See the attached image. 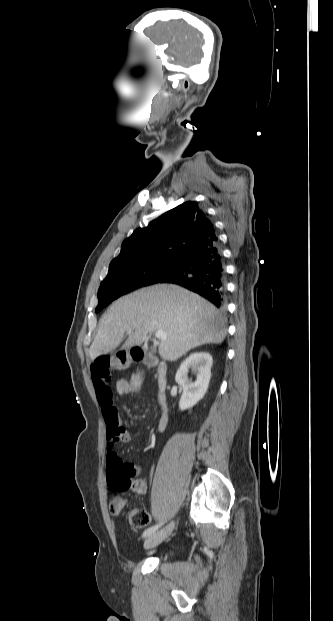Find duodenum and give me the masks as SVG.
Wrapping results in <instances>:
<instances>
[{"label": "duodenum", "mask_w": 333, "mask_h": 621, "mask_svg": "<svg viewBox=\"0 0 333 621\" xmlns=\"http://www.w3.org/2000/svg\"><path fill=\"white\" fill-rule=\"evenodd\" d=\"M131 356L135 361L144 363L147 366L157 367V384H158V402L161 409V417L158 423V429L164 430L168 421V406L166 402L165 390L167 387V368L163 362H159L155 357L144 353L139 348H133Z\"/></svg>", "instance_id": "1"}]
</instances>
